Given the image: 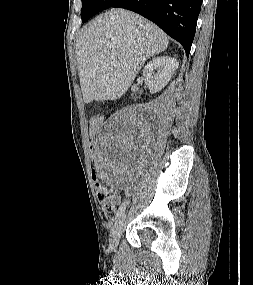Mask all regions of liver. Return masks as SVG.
I'll return each mask as SVG.
<instances>
[{"instance_id": "6515ba94", "label": "liver", "mask_w": 253, "mask_h": 285, "mask_svg": "<svg viewBox=\"0 0 253 285\" xmlns=\"http://www.w3.org/2000/svg\"><path fill=\"white\" fill-rule=\"evenodd\" d=\"M168 44L164 31L131 11L111 9L96 17L76 43L84 102L123 96L144 62Z\"/></svg>"}]
</instances>
